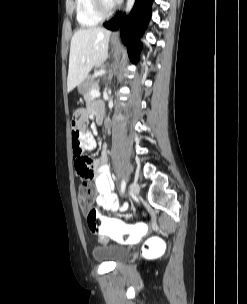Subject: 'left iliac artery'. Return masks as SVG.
Segmentation results:
<instances>
[{
	"label": "left iliac artery",
	"mask_w": 247,
	"mask_h": 304,
	"mask_svg": "<svg viewBox=\"0 0 247 304\" xmlns=\"http://www.w3.org/2000/svg\"><path fill=\"white\" fill-rule=\"evenodd\" d=\"M125 188H126V181L123 179L122 181H121V194H123L124 193V191H125Z\"/></svg>",
	"instance_id": "left-iliac-artery-1"
}]
</instances>
